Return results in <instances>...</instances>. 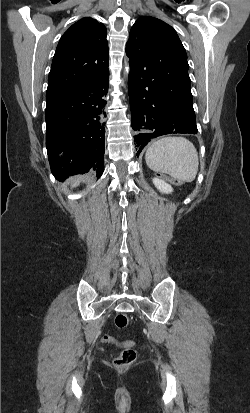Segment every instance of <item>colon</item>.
I'll use <instances>...</instances> for the list:
<instances>
[{"instance_id":"5ec220e1","label":"colon","mask_w":250,"mask_h":413,"mask_svg":"<svg viewBox=\"0 0 250 413\" xmlns=\"http://www.w3.org/2000/svg\"><path fill=\"white\" fill-rule=\"evenodd\" d=\"M156 178L161 180L162 183H170L172 187H182L184 185V180L182 178H176L174 174H167L165 171H158L156 173ZM129 322L130 319L125 314H118L114 320V324L118 329L127 327ZM102 342L105 344L116 343L109 335L103 336ZM121 347L122 352L113 360V365L119 369L128 367L136 359L137 355L135 343L133 341H125L121 344Z\"/></svg>"}]
</instances>
